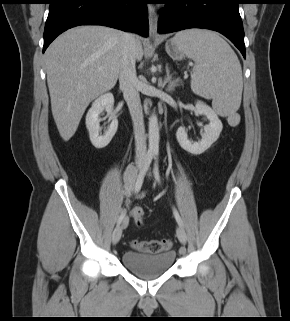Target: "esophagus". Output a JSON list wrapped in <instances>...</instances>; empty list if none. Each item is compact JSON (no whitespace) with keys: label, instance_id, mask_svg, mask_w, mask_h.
Wrapping results in <instances>:
<instances>
[{"label":"esophagus","instance_id":"esophagus-1","mask_svg":"<svg viewBox=\"0 0 290 321\" xmlns=\"http://www.w3.org/2000/svg\"><path fill=\"white\" fill-rule=\"evenodd\" d=\"M148 19H149V37L150 39L158 38V15L154 6L148 5Z\"/></svg>","mask_w":290,"mask_h":321}]
</instances>
